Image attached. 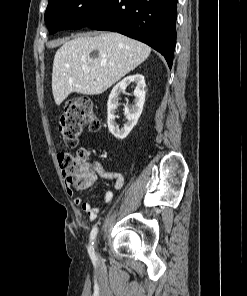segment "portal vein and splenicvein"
<instances>
[{
  "label": "portal vein and splenic vein",
  "mask_w": 247,
  "mask_h": 296,
  "mask_svg": "<svg viewBox=\"0 0 247 296\" xmlns=\"http://www.w3.org/2000/svg\"><path fill=\"white\" fill-rule=\"evenodd\" d=\"M84 71H85V72H89L90 70H89L88 68H85Z\"/></svg>",
  "instance_id": "1"
}]
</instances>
